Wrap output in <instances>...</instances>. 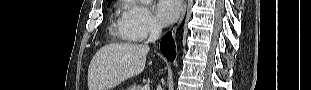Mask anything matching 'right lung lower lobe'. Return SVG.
I'll list each match as a JSON object with an SVG mask.
<instances>
[{"label": "right lung lower lobe", "mask_w": 311, "mask_h": 90, "mask_svg": "<svg viewBox=\"0 0 311 90\" xmlns=\"http://www.w3.org/2000/svg\"><path fill=\"white\" fill-rule=\"evenodd\" d=\"M160 50L168 60L173 61L175 58V46L171 32H168L160 42Z\"/></svg>", "instance_id": "obj_1"}]
</instances>
